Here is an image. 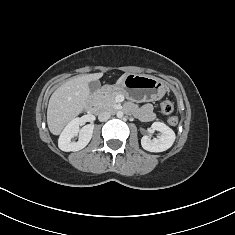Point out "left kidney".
Returning <instances> with one entry per match:
<instances>
[{
  "label": "left kidney",
  "instance_id": "5707ae66",
  "mask_svg": "<svg viewBox=\"0 0 235 235\" xmlns=\"http://www.w3.org/2000/svg\"><path fill=\"white\" fill-rule=\"evenodd\" d=\"M151 128L159 131L160 135L154 140H152L149 136H143L141 139L143 149L149 152H163L173 145L176 136L174 131L166 124L162 122H154L151 125Z\"/></svg>",
  "mask_w": 235,
  "mask_h": 235
}]
</instances>
